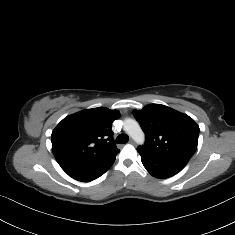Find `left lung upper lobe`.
I'll use <instances>...</instances> for the list:
<instances>
[{
	"instance_id": "1",
	"label": "left lung upper lobe",
	"mask_w": 235,
	"mask_h": 235,
	"mask_svg": "<svg viewBox=\"0 0 235 235\" xmlns=\"http://www.w3.org/2000/svg\"><path fill=\"white\" fill-rule=\"evenodd\" d=\"M146 140L138 152L187 164L197 149L199 126L186 114L160 104L133 111Z\"/></svg>"
}]
</instances>
